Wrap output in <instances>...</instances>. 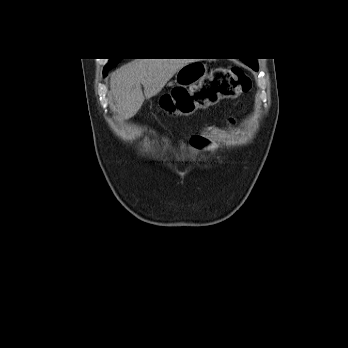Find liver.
I'll use <instances>...</instances> for the list:
<instances>
[{
	"instance_id": "liver-1",
	"label": "liver",
	"mask_w": 348,
	"mask_h": 348,
	"mask_svg": "<svg viewBox=\"0 0 348 348\" xmlns=\"http://www.w3.org/2000/svg\"><path fill=\"white\" fill-rule=\"evenodd\" d=\"M189 62L186 59H135L116 70L111 76L110 92L120 114L125 119L134 116L145 98L157 95Z\"/></svg>"
}]
</instances>
